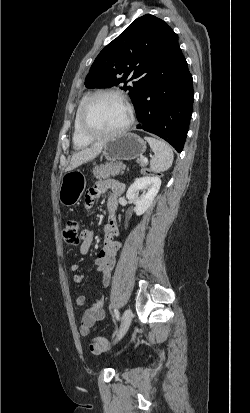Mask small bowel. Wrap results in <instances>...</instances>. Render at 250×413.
I'll return each instance as SVG.
<instances>
[{"mask_svg":"<svg viewBox=\"0 0 250 413\" xmlns=\"http://www.w3.org/2000/svg\"><path fill=\"white\" fill-rule=\"evenodd\" d=\"M124 185L118 180L110 179L101 181L95 184L86 194L85 208L87 211L91 210L97 198L101 195L107 196V211L108 221L104 226V242L103 246L98 252L97 257L93 261V268L99 273L102 279V285L106 288L110 283L111 273L115 265L116 255L121 247V242L118 240L119 229L116 223L115 214L117 210V198L123 193ZM82 243L79 251L82 255H86L92 245L95 232L93 228L87 227L82 232ZM73 273V281L75 283L83 282L85 274L81 271L80 266L73 263L69 266ZM104 298L99 297L94 303L85 307L82 318L80 332L83 336L88 335L96 326V324L103 320L105 312L103 309ZM86 298L80 295L76 299L78 307H84ZM90 351L94 354H100L104 349H92Z\"/></svg>","mask_w":250,"mask_h":413,"instance_id":"1","label":"small bowel"}]
</instances>
